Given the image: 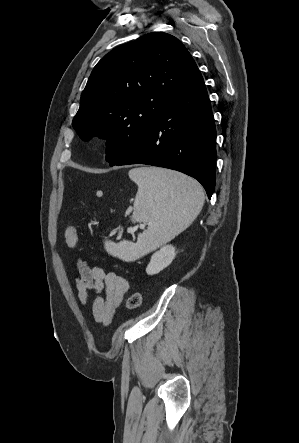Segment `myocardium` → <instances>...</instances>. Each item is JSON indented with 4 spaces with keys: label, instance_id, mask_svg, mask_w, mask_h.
<instances>
[{
    "label": "myocardium",
    "instance_id": "1",
    "mask_svg": "<svg viewBox=\"0 0 299 443\" xmlns=\"http://www.w3.org/2000/svg\"><path fill=\"white\" fill-rule=\"evenodd\" d=\"M94 139H95V141H99L100 140V136L96 135Z\"/></svg>",
    "mask_w": 299,
    "mask_h": 443
}]
</instances>
